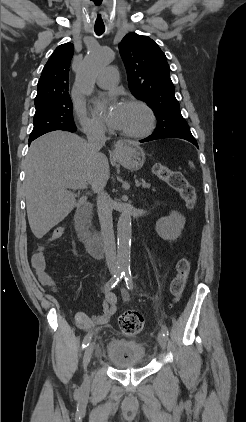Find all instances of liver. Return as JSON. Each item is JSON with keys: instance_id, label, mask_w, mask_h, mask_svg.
Wrapping results in <instances>:
<instances>
[{"instance_id": "1", "label": "liver", "mask_w": 246, "mask_h": 422, "mask_svg": "<svg viewBox=\"0 0 246 422\" xmlns=\"http://www.w3.org/2000/svg\"><path fill=\"white\" fill-rule=\"evenodd\" d=\"M25 174L27 216L38 239L86 202L87 196L76 201L69 184L86 183L93 188L110 176L104 154H92L84 139L64 131L47 133L32 142Z\"/></svg>"}]
</instances>
